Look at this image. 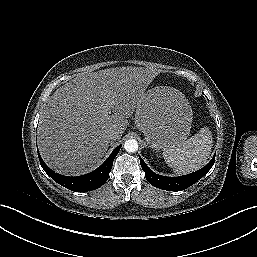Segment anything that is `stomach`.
<instances>
[{
  "label": "stomach",
  "mask_w": 257,
  "mask_h": 257,
  "mask_svg": "<svg viewBox=\"0 0 257 257\" xmlns=\"http://www.w3.org/2000/svg\"><path fill=\"white\" fill-rule=\"evenodd\" d=\"M193 112L186 97L172 87L148 90L136 107L135 124L155 150L172 148L188 138Z\"/></svg>",
  "instance_id": "obj_1"
}]
</instances>
